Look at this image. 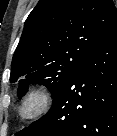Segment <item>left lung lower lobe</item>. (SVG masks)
<instances>
[{"label":"left lung lower lobe","mask_w":117,"mask_h":136,"mask_svg":"<svg viewBox=\"0 0 117 136\" xmlns=\"http://www.w3.org/2000/svg\"><path fill=\"white\" fill-rule=\"evenodd\" d=\"M19 136H117V24L53 96L51 110Z\"/></svg>","instance_id":"1"}]
</instances>
